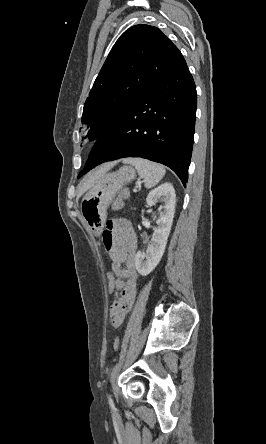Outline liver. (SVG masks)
Returning a JSON list of instances; mask_svg holds the SVG:
<instances>
[{
  "label": "liver",
  "mask_w": 266,
  "mask_h": 444,
  "mask_svg": "<svg viewBox=\"0 0 266 444\" xmlns=\"http://www.w3.org/2000/svg\"><path fill=\"white\" fill-rule=\"evenodd\" d=\"M116 164V162H110L103 164L99 169H97L95 172H93L89 177L85 180V182L82 184L79 196H81L83 193H85L88 189H90L94 184L104 175L108 170L113 168V166ZM78 196V197H79Z\"/></svg>",
  "instance_id": "6515ba94"
}]
</instances>
